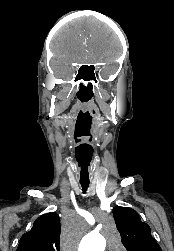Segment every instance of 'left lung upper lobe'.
<instances>
[{
    "label": "left lung upper lobe",
    "mask_w": 174,
    "mask_h": 251,
    "mask_svg": "<svg viewBox=\"0 0 174 251\" xmlns=\"http://www.w3.org/2000/svg\"><path fill=\"white\" fill-rule=\"evenodd\" d=\"M113 215L127 251H162L151 236L150 227L141 221L135 210L116 206Z\"/></svg>",
    "instance_id": "5c2ea615"
}]
</instances>
